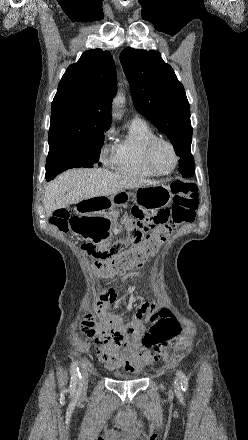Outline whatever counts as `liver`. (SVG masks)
I'll return each mask as SVG.
<instances>
[{
	"label": "liver",
	"mask_w": 248,
	"mask_h": 440,
	"mask_svg": "<svg viewBox=\"0 0 248 440\" xmlns=\"http://www.w3.org/2000/svg\"><path fill=\"white\" fill-rule=\"evenodd\" d=\"M146 179L113 173L106 169H71L49 183L44 195V208L50 216L55 210L94 197H106L126 189L155 185Z\"/></svg>",
	"instance_id": "6515ba94"
}]
</instances>
